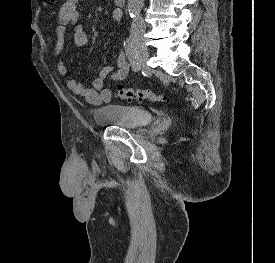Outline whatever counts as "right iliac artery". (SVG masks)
<instances>
[{
  "instance_id": "obj_1",
  "label": "right iliac artery",
  "mask_w": 275,
  "mask_h": 263,
  "mask_svg": "<svg viewBox=\"0 0 275 263\" xmlns=\"http://www.w3.org/2000/svg\"><path fill=\"white\" fill-rule=\"evenodd\" d=\"M124 47L126 54L130 60L133 71H139L141 69V64L138 61L137 53L134 44L131 39H126L124 41Z\"/></svg>"
}]
</instances>
